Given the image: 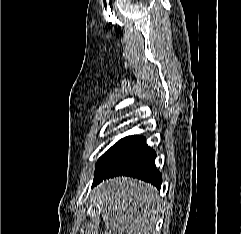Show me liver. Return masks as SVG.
<instances>
[{
	"mask_svg": "<svg viewBox=\"0 0 241 234\" xmlns=\"http://www.w3.org/2000/svg\"><path fill=\"white\" fill-rule=\"evenodd\" d=\"M103 212L104 234H149L156 223L158 192L143 181L117 177L92 191Z\"/></svg>",
	"mask_w": 241,
	"mask_h": 234,
	"instance_id": "obj_1",
	"label": "liver"
}]
</instances>
